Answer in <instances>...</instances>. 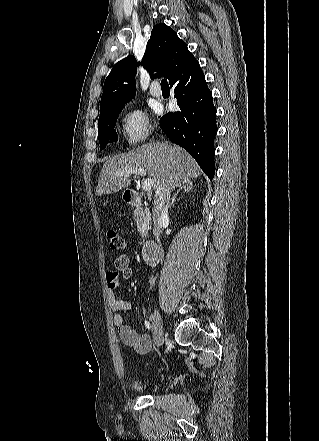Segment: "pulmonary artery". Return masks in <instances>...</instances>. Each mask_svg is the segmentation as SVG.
<instances>
[{
    "label": "pulmonary artery",
    "instance_id": "e3ab8cb5",
    "mask_svg": "<svg viewBox=\"0 0 319 441\" xmlns=\"http://www.w3.org/2000/svg\"><path fill=\"white\" fill-rule=\"evenodd\" d=\"M150 93L154 97H160L162 95V91L160 88L156 87L155 85L151 86Z\"/></svg>",
    "mask_w": 319,
    "mask_h": 441
}]
</instances>
